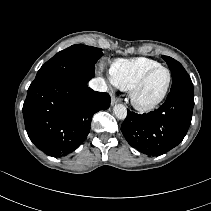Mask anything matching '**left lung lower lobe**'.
Returning <instances> with one entry per match:
<instances>
[{
  "label": "left lung lower lobe",
  "mask_w": 211,
  "mask_h": 211,
  "mask_svg": "<svg viewBox=\"0 0 211 211\" xmlns=\"http://www.w3.org/2000/svg\"><path fill=\"white\" fill-rule=\"evenodd\" d=\"M194 92L171 91L157 110L136 114L128 110L121 131L138 151L157 156L182 142L191 124Z\"/></svg>",
  "instance_id": "left-lung-lower-lobe-1"
}]
</instances>
